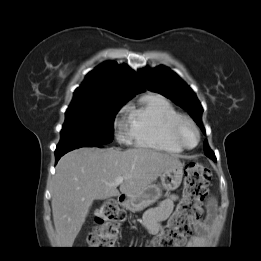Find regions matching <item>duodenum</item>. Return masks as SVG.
I'll list each match as a JSON object with an SVG mask.
<instances>
[{"label":"duodenum","mask_w":261,"mask_h":261,"mask_svg":"<svg viewBox=\"0 0 261 261\" xmlns=\"http://www.w3.org/2000/svg\"><path fill=\"white\" fill-rule=\"evenodd\" d=\"M126 200H127V197H126V195H124V194L119 197V202H120V204L123 205V206L125 205Z\"/></svg>","instance_id":"410a0bca"}]
</instances>
